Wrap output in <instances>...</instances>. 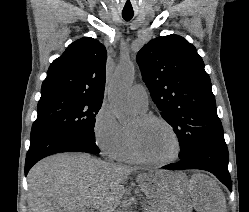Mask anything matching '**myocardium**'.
I'll use <instances>...</instances> for the list:
<instances>
[{"label":"myocardium","mask_w":249,"mask_h":212,"mask_svg":"<svg viewBox=\"0 0 249 212\" xmlns=\"http://www.w3.org/2000/svg\"><path fill=\"white\" fill-rule=\"evenodd\" d=\"M139 119L143 123H159V124L163 125L166 129H168L171 132V134L174 136V138L177 142V153H176L174 158L167 160V161L156 162V161L148 160V159L144 158L138 152V150L136 149V147L134 145V142H133L131 136L128 133V135H127L128 147H129V151H130V154H131L133 160L136 161L137 163L142 164V165L149 166V167H156V168L167 167V166H170V165L177 163L182 156L183 145H182L181 138H180L178 132L175 130V128L165 119L158 117V116H155V115H141L139 117Z\"/></svg>","instance_id":"obj_1"}]
</instances>
